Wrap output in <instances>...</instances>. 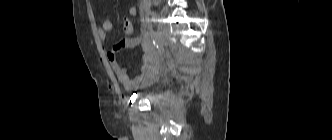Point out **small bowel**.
<instances>
[{
    "mask_svg": "<svg viewBox=\"0 0 332 140\" xmlns=\"http://www.w3.org/2000/svg\"><path fill=\"white\" fill-rule=\"evenodd\" d=\"M130 16H135L137 14V9L135 7H130L128 10ZM113 29V23L110 20H103L98 26V37L101 41H105L108 33ZM137 46H141L143 50V64L142 72L140 75L131 78L129 76L128 70L123 68L117 62V53L126 50L133 49ZM107 58L111 64L112 70L118 80V82L127 90H136L147 83H149L153 78L154 71V61L153 52L150 42L147 37H131L125 36L113 48L107 53Z\"/></svg>",
    "mask_w": 332,
    "mask_h": 140,
    "instance_id": "obj_1",
    "label": "small bowel"
}]
</instances>
